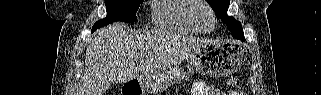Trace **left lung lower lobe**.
<instances>
[{"label": "left lung lower lobe", "instance_id": "0a47b994", "mask_svg": "<svg viewBox=\"0 0 321 95\" xmlns=\"http://www.w3.org/2000/svg\"><path fill=\"white\" fill-rule=\"evenodd\" d=\"M237 39H239V40H245L244 35L239 36Z\"/></svg>", "mask_w": 321, "mask_h": 95}]
</instances>
